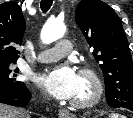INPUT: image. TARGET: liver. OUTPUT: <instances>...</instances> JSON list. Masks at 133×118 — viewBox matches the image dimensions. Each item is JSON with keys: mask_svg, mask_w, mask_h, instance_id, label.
I'll list each match as a JSON object with an SVG mask.
<instances>
[{"mask_svg": "<svg viewBox=\"0 0 133 118\" xmlns=\"http://www.w3.org/2000/svg\"><path fill=\"white\" fill-rule=\"evenodd\" d=\"M0 118H30V115L24 109L0 104Z\"/></svg>", "mask_w": 133, "mask_h": 118, "instance_id": "obj_1", "label": "liver"}]
</instances>
